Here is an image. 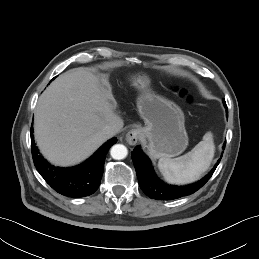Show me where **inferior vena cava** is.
I'll return each instance as SVG.
<instances>
[{
  "mask_svg": "<svg viewBox=\"0 0 259 259\" xmlns=\"http://www.w3.org/2000/svg\"><path fill=\"white\" fill-rule=\"evenodd\" d=\"M118 131L119 129L115 124L106 125L103 129V132L109 137L114 136Z\"/></svg>",
  "mask_w": 259,
  "mask_h": 259,
  "instance_id": "1",
  "label": "inferior vena cava"
}]
</instances>
